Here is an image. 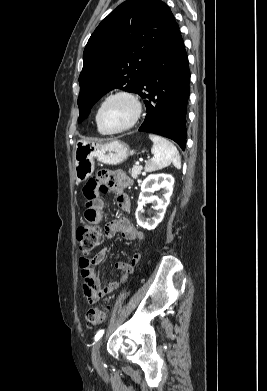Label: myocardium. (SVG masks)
Returning a JSON list of instances; mask_svg holds the SVG:
<instances>
[{
	"mask_svg": "<svg viewBox=\"0 0 267 391\" xmlns=\"http://www.w3.org/2000/svg\"><path fill=\"white\" fill-rule=\"evenodd\" d=\"M119 97L126 98L131 102V104L133 105L134 113H133V116H132V119L130 120V122L127 125H125L124 127H121L118 129H109V128L105 127L101 121V112L107 102H109L110 100H112L114 98H119ZM141 113H142L141 102H140L139 98L133 92H131L129 90H117V91H114V92H111L110 94H108L101 101V103L97 109V113H96V123H97L98 127L106 134L122 133V132H125L135 126V124L140 119Z\"/></svg>",
	"mask_w": 267,
	"mask_h": 391,
	"instance_id": "f54148a6",
	"label": "myocardium"
}]
</instances>
